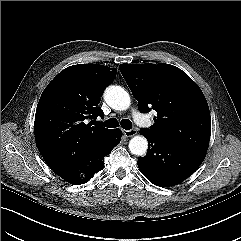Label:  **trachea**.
Segmentation results:
<instances>
[{"label": "trachea", "mask_w": 241, "mask_h": 241, "mask_svg": "<svg viewBox=\"0 0 241 241\" xmlns=\"http://www.w3.org/2000/svg\"><path fill=\"white\" fill-rule=\"evenodd\" d=\"M120 124L123 129L130 130L132 128V123L129 119L121 120ZM104 125L108 128H115L118 127V121L116 118H110Z\"/></svg>", "instance_id": "trachea-1"}]
</instances>
